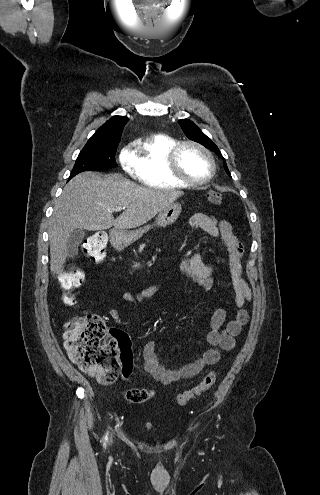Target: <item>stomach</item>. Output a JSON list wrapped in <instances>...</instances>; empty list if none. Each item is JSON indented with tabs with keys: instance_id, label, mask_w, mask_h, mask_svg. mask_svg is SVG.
I'll list each match as a JSON object with an SVG mask.
<instances>
[{
	"instance_id": "stomach-1",
	"label": "stomach",
	"mask_w": 320,
	"mask_h": 495,
	"mask_svg": "<svg viewBox=\"0 0 320 495\" xmlns=\"http://www.w3.org/2000/svg\"><path fill=\"white\" fill-rule=\"evenodd\" d=\"M182 207L179 203H171L160 211L156 218L155 225L158 227H167L172 225L181 214ZM152 226L148 225L137 230H120L115 231L111 237V242L116 247H126L138 240L144 233L149 231Z\"/></svg>"
}]
</instances>
